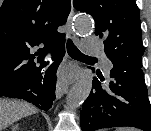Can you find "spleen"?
Here are the masks:
<instances>
[{
    "label": "spleen",
    "mask_w": 151,
    "mask_h": 131,
    "mask_svg": "<svg viewBox=\"0 0 151 131\" xmlns=\"http://www.w3.org/2000/svg\"><path fill=\"white\" fill-rule=\"evenodd\" d=\"M116 131H138L134 128H118L116 129Z\"/></svg>",
    "instance_id": "obj_1"
}]
</instances>
